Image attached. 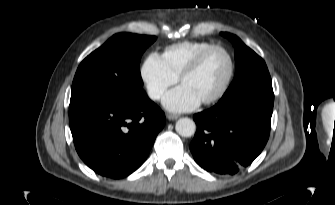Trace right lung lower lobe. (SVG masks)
Here are the masks:
<instances>
[{"mask_svg": "<svg viewBox=\"0 0 335 205\" xmlns=\"http://www.w3.org/2000/svg\"><path fill=\"white\" fill-rule=\"evenodd\" d=\"M76 151L96 173L123 178L147 158L164 112L146 93L124 98H88L69 105Z\"/></svg>", "mask_w": 335, "mask_h": 205, "instance_id": "1", "label": "right lung lower lobe"}]
</instances>
